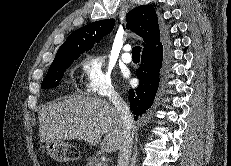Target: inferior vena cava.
Masks as SVG:
<instances>
[{
  "mask_svg": "<svg viewBox=\"0 0 231 166\" xmlns=\"http://www.w3.org/2000/svg\"><path fill=\"white\" fill-rule=\"evenodd\" d=\"M111 101L123 122V140L118 153L117 166H128L134 138V120L129 106L119 95H112Z\"/></svg>",
  "mask_w": 231,
  "mask_h": 166,
  "instance_id": "1",
  "label": "inferior vena cava"
}]
</instances>
